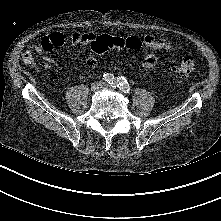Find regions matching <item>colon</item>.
<instances>
[{"label":"colon","mask_w":221,"mask_h":221,"mask_svg":"<svg viewBox=\"0 0 221 221\" xmlns=\"http://www.w3.org/2000/svg\"><path fill=\"white\" fill-rule=\"evenodd\" d=\"M143 45L141 39L135 36L128 38H120L110 36L107 34L98 36L90 44L91 50L96 54H103L112 49L126 48L129 50H139ZM23 60L26 63L33 61V54L31 51H26L23 54ZM195 70L194 59L190 56L184 57L179 62L174 63L170 67V73L179 78L189 77Z\"/></svg>","instance_id":"colon-1"}]
</instances>
